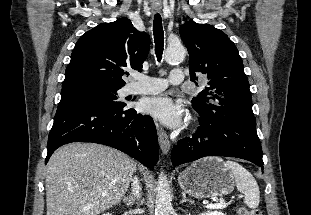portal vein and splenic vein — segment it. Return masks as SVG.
<instances>
[{
	"label": "portal vein and splenic vein",
	"instance_id": "portal-vein-and-splenic-vein-1",
	"mask_svg": "<svg viewBox=\"0 0 311 215\" xmlns=\"http://www.w3.org/2000/svg\"><path fill=\"white\" fill-rule=\"evenodd\" d=\"M228 204L230 203H225V202L214 203V204L211 203V204H207L206 207L221 209V208H225Z\"/></svg>",
	"mask_w": 311,
	"mask_h": 215
}]
</instances>
